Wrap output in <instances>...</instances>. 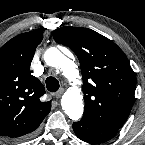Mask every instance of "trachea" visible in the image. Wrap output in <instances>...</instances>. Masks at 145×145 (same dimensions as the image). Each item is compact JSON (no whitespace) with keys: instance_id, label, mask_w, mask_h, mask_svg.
Wrapping results in <instances>:
<instances>
[{"instance_id":"3493384b","label":"trachea","mask_w":145,"mask_h":145,"mask_svg":"<svg viewBox=\"0 0 145 145\" xmlns=\"http://www.w3.org/2000/svg\"><path fill=\"white\" fill-rule=\"evenodd\" d=\"M45 83H46L47 89L50 92H56L60 87L58 80L55 77H52V76L48 77L46 79Z\"/></svg>"}]
</instances>
